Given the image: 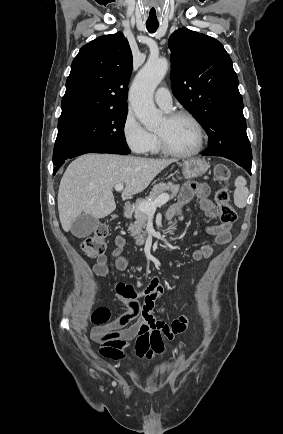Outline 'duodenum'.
<instances>
[{"label": "duodenum", "mask_w": 283, "mask_h": 434, "mask_svg": "<svg viewBox=\"0 0 283 434\" xmlns=\"http://www.w3.org/2000/svg\"><path fill=\"white\" fill-rule=\"evenodd\" d=\"M133 209V203L132 202H127L124 207H123V215L126 217L130 214V212Z\"/></svg>", "instance_id": "410a0bca"}]
</instances>
